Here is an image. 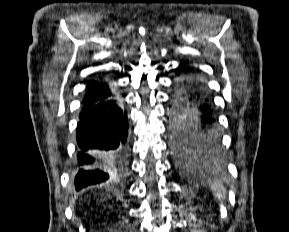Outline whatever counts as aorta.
<instances>
[{
	"mask_svg": "<svg viewBox=\"0 0 289 232\" xmlns=\"http://www.w3.org/2000/svg\"><path fill=\"white\" fill-rule=\"evenodd\" d=\"M180 113V110H177V111H175V113L174 114H179Z\"/></svg>",
	"mask_w": 289,
	"mask_h": 232,
	"instance_id": "aorta-1",
	"label": "aorta"
}]
</instances>
